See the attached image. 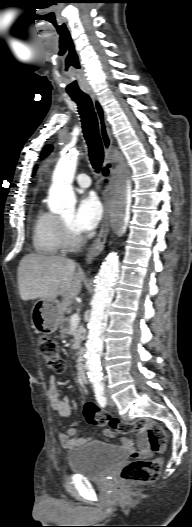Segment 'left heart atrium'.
<instances>
[{"instance_id":"39dd6f15","label":"left heart atrium","mask_w":192,"mask_h":527,"mask_svg":"<svg viewBox=\"0 0 192 527\" xmlns=\"http://www.w3.org/2000/svg\"><path fill=\"white\" fill-rule=\"evenodd\" d=\"M102 217V206L94 194L84 196L71 219V227L76 233L94 230Z\"/></svg>"}]
</instances>
